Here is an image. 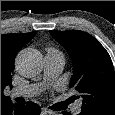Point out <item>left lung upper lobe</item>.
<instances>
[{
  "instance_id": "1",
  "label": "left lung upper lobe",
  "mask_w": 115,
  "mask_h": 115,
  "mask_svg": "<svg viewBox=\"0 0 115 115\" xmlns=\"http://www.w3.org/2000/svg\"><path fill=\"white\" fill-rule=\"evenodd\" d=\"M50 33L72 58L70 87L83 99L81 113L115 115V72L105 48L83 31L51 30Z\"/></svg>"
}]
</instances>
